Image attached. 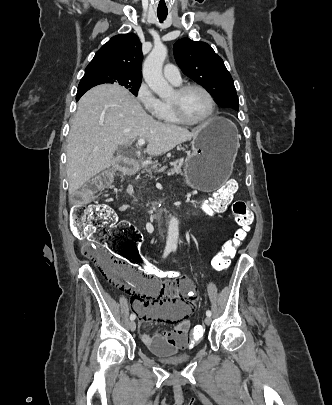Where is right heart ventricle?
Masks as SVG:
<instances>
[{"mask_svg": "<svg viewBox=\"0 0 332 405\" xmlns=\"http://www.w3.org/2000/svg\"><path fill=\"white\" fill-rule=\"evenodd\" d=\"M158 118L166 123H178V120L173 114L170 103L167 101L162 102V111Z\"/></svg>", "mask_w": 332, "mask_h": 405, "instance_id": "right-heart-ventricle-1", "label": "right heart ventricle"}]
</instances>
